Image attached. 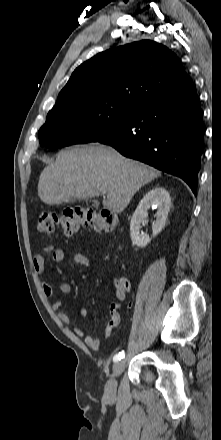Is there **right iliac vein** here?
I'll return each instance as SVG.
<instances>
[{"instance_id":"1","label":"right iliac vein","mask_w":221,"mask_h":440,"mask_svg":"<svg viewBox=\"0 0 221 440\" xmlns=\"http://www.w3.org/2000/svg\"><path fill=\"white\" fill-rule=\"evenodd\" d=\"M125 368V362L119 361L113 365V373L111 378L108 380L105 386V397L108 399H113L116 396L117 381L116 377L119 376Z\"/></svg>"}]
</instances>
